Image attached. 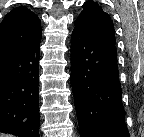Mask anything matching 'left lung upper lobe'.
Masks as SVG:
<instances>
[{"mask_svg":"<svg viewBox=\"0 0 144 137\" xmlns=\"http://www.w3.org/2000/svg\"><path fill=\"white\" fill-rule=\"evenodd\" d=\"M84 10L77 18L75 25L82 27L92 36L116 42L114 25L108 13L95 2L87 1Z\"/></svg>","mask_w":144,"mask_h":137,"instance_id":"1","label":"left lung upper lobe"}]
</instances>
